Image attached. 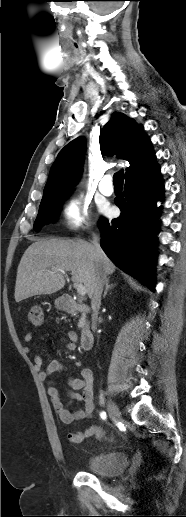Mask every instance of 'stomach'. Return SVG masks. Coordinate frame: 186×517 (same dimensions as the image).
Listing matches in <instances>:
<instances>
[{"label":"stomach","mask_w":186,"mask_h":517,"mask_svg":"<svg viewBox=\"0 0 186 517\" xmlns=\"http://www.w3.org/2000/svg\"><path fill=\"white\" fill-rule=\"evenodd\" d=\"M56 305H57L58 307H60V306H61V304L59 303V301H56Z\"/></svg>","instance_id":"stomach-1"}]
</instances>
